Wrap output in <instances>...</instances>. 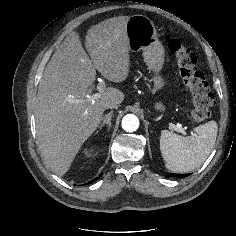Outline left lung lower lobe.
<instances>
[{
  "label": "left lung lower lobe",
  "mask_w": 236,
  "mask_h": 236,
  "mask_svg": "<svg viewBox=\"0 0 236 236\" xmlns=\"http://www.w3.org/2000/svg\"><path fill=\"white\" fill-rule=\"evenodd\" d=\"M189 174H174V173H172V174H170L168 177H172V176H174V177H186V176H188Z\"/></svg>",
  "instance_id": "1"
}]
</instances>
